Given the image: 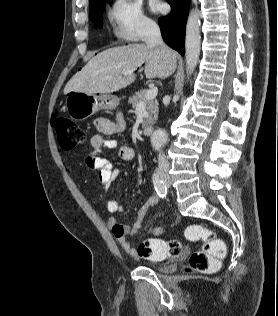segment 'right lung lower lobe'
I'll return each instance as SVG.
<instances>
[{
    "label": "right lung lower lobe",
    "instance_id": "1",
    "mask_svg": "<svg viewBox=\"0 0 278 316\" xmlns=\"http://www.w3.org/2000/svg\"><path fill=\"white\" fill-rule=\"evenodd\" d=\"M171 13L159 20L164 41L181 55L185 54V25L189 13L190 0H167Z\"/></svg>",
    "mask_w": 278,
    "mask_h": 316
}]
</instances>
